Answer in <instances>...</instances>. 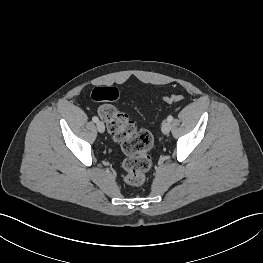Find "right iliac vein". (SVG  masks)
I'll return each instance as SVG.
<instances>
[{"mask_svg":"<svg viewBox=\"0 0 263 263\" xmlns=\"http://www.w3.org/2000/svg\"><path fill=\"white\" fill-rule=\"evenodd\" d=\"M96 126H97V130L100 133H103L105 131V126H104V124L101 121H98Z\"/></svg>","mask_w":263,"mask_h":263,"instance_id":"obj_1","label":"right iliac vein"}]
</instances>
